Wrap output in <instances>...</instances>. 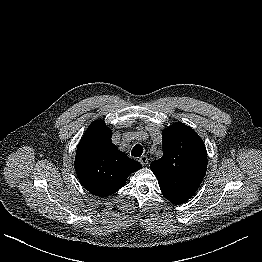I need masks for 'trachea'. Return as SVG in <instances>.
Segmentation results:
<instances>
[{
    "label": "trachea",
    "instance_id": "obj_1",
    "mask_svg": "<svg viewBox=\"0 0 262 262\" xmlns=\"http://www.w3.org/2000/svg\"><path fill=\"white\" fill-rule=\"evenodd\" d=\"M143 153V147L140 144H137L133 147L131 155L134 157H140Z\"/></svg>",
    "mask_w": 262,
    "mask_h": 262
}]
</instances>
